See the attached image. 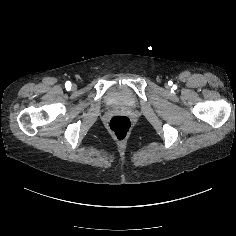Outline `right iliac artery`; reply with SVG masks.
Masks as SVG:
<instances>
[{
  "instance_id": "right-iliac-artery-1",
  "label": "right iliac artery",
  "mask_w": 236,
  "mask_h": 236,
  "mask_svg": "<svg viewBox=\"0 0 236 236\" xmlns=\"http://www.w3.org/2000/svg\"><path fill=\"white\" fill-rule=\"evenodd\" d=\"M65 87H66L67 90H69V89L71 88V82H70V81H67V82L65 83Z\"/></svg>"
}]
</instances>
